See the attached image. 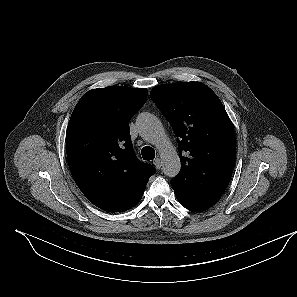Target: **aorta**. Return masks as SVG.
<instances>
[{"label": "aorta", "mask_w": 297, "mask_h": 297, "mask_svg": "<svg viewBox=\"0 0 297 297\" xmlns=\"http://www.w3.org/2000/svg\"><path fill=\"white\" fill-rule=\"evenodd\" d=\"M136 125L141 137L158 149L164 174L171 178L175 177L181 168L180 159L159 119L150 113H141Z\"/></svg>", "instance_id": "762f6f07"}]
</instances>
